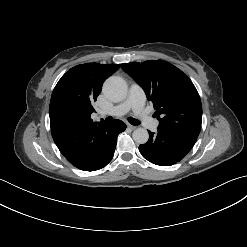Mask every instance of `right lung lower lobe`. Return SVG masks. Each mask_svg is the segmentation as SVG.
Returning a JSON list of instances; mask_svg holds the SVG:
<instances>
[{
    "instance_id": "obj_1",
    "label": "right lung lower lobe",
    "mask_w": 247,
    "mask_h": 247,
    "mask_svg": "<svg viewBox=\"0 0 247 247\" xmlns=\"http://www.w3.org/2000/svg\"><path fill=\"white\" fill-rule=\"evenodd\" d=\"M126 129V124L114 120L90 128L80 143L64 154L66 159L83 171H95L105 167L113 158L117 136Z\"/></svg>"
}]
</instances>
